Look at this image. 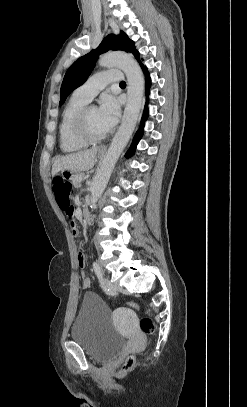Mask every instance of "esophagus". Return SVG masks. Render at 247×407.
I'll use <instances>...</instances> for the list:
<instances>
[{"mask_svg": "<svg viewBox=\"0 0 247 407\" xmlns=\"http://www.w3.org/2000/svg\"><path fill=\"white\" fill-rule=\"evenodd\" d=\"M106 149H107V147H106V146H104V147H102V148H101V150H106Z\"/></svg>", "mask_w": 247, "mask_h": 407, "instance_id": "34e87169", "label": "esophagus"}]
</instances>
